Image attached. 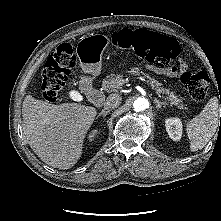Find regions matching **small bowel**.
<instances>
[{"label":"small bowel","instance_id":"c3829d8e","mask_svg":"<svg viewBox=\"0 0 221 221\" xmlns=\"http://www.w3.org/2000/svg\"><path fill=\"white\" fill-rule=\"evenodd\" d=\"M148 68L159 74H164L169 77H176L179 71H184L187 68V65L184 61H181L179 67L172 65L169 68H160L154 65H148Z\"/></svg>","mask_w":221,"mask_h":221}]
</instances>
